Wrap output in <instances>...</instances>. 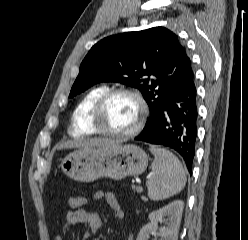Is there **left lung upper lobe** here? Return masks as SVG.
<instances>
[{
	"mask_svg": "<svg viewBox=\"0 0 248 240\" xmlns=\"http://www.w3.org/2000/svg\"><path fill=\"white\" fill-rule=\"evenodd\" d=\"M193 77L191 60L178 36L165 27H154L96 43L80 65L69 98L99 82L135 87L149 106L148 124L167 97Z\"/></svg>",
	"mask_w": 248,
	"mask_h": 240,
	"instance_id": "obj_1",
	"label": "left lung upper lobe"
}]
</instances>
